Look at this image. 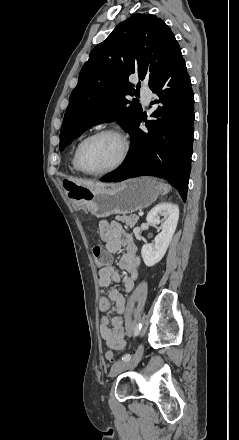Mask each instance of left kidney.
I'll list each match as a JSON object with an SVG mask.
<instances>
[{
    "label": "left kidney",
    "mask_w": 239,
    "mask_h": 440,
    "mask_svg": "<svg viewBox=\"0 0 239 440\" xmlns=\"http://www.w3.org/2000/svg\"><path fill=\"white\" fill-rule=\"evenodd\" d=\"M160 216H164L165 220H160ZM179 218V208L176 204L170 202H163L152 208L146 220L148 224H161L160 234L154 238V244H144L141 250V256L145 266H155L163 256L173 238Z\"/></svg>",
    "instance_id": "5707ae66"
}]
</instances>
